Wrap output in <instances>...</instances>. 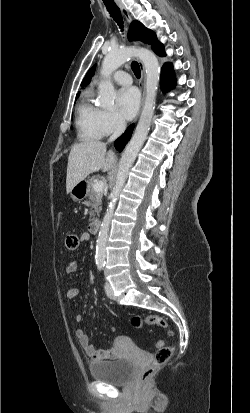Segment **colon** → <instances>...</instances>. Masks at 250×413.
<instances>
[{
    "mask_svg": "<svg viewBox=\"0 0 250 413\" xmlns=\"http://www.w3.org/2000/svg\"><path fill=\"white\" fill-rule=\"evenodd\" d=\"M64 246H65V249L69 252L76 251L80 246L79 236L74 233L67 234L65 237ZM132 325L135 328H143L149 325H157V326H161L164 328L168 327L165 319L159 315H148V316L135 315L132 318ZM111 329L113 330L114 328L112 327ZM114 332L116 333L117 331L115 330ZM169 334L172 335V332L170 330H169ZM116 336L118 337L119 335L117 334ZM155 347H156V352H155L152 363L148 365L141 373L140 377L142 381L148 380L153 375V373L156 371V369L160 367L161 365H163L164 363H166L173 355L174 347L167 346L162 340L156 342Z\"/></svg>",
    "mask_w": 250,
    "mask_h": 413,
    "instance_id": "1",
    "label": "colon"
}]
</instances>
